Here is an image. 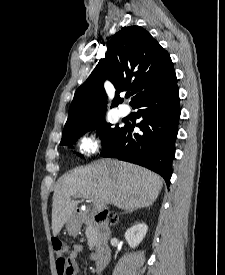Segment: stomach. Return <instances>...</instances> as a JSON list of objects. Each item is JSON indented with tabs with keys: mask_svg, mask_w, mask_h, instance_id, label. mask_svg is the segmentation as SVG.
<instances>
[{
	"mask_svg": "<svg viewBox=\"0 0 225 275\" xmlns=\"http://www.w3.org/2000/svg\"><path fill=\"white\" fill-rule=\"evenodd\" d=\"M80 229V226L78 222L74 219V217H71L67 221V230L71 235H75Z\"/></svg>",
	"mask_w": 225,
	"mask_h": 275,
	"instance_id": "1",
	"label": "stomach"
}]
</instances>
